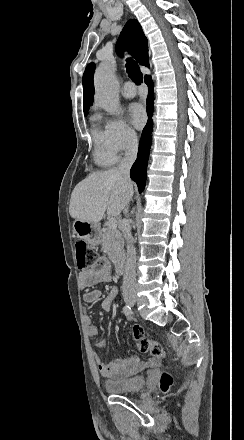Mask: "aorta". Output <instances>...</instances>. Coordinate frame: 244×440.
<instances>
[{
    "instance_id": "1",
    "label": "aorta",
    "mask_w": 244,
    "mask_h": 440,
    "mask_svg": "<svg viewBox=\"0 0 244 440\" xmlns=\"http://www.w3.org/2000/svg\"><path fill=\"white\" fill-rule=\"evenodd\" d=\"M95 100L109 114L119 112V84L111 68L102 63L94 75Z\"/></svg>"
}]
</instances>
